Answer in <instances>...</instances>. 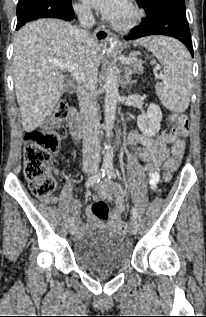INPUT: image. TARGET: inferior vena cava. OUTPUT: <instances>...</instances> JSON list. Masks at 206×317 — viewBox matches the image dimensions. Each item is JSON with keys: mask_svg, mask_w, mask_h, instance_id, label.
<instances>
[{"mask_svg": "<svg viewBox=\"0 0 206 317\" xmlns=\"http://www.w3.org/2000/svg\"><path fill=\"white\" fill-rule=\"evenodd\" d=\"M75 11L82 27L77 31V40L85 56L82 64L83 82L77 90L83 127V165L86 169L95 170L100 160V121L95 96L97 64L94 59L96 52L93 49V38L87 31L95 21L89 5H79Z\"/></svg>", "mask_w": 206, "mask_h": 317, "instance_id": "inferior-vena-cava-1", "label": "inferior vena cava"}]
</instances>
